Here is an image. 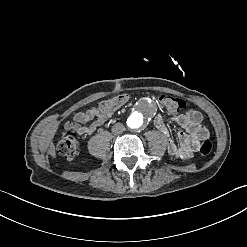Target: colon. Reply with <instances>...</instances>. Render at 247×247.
Returning a JSON list of instances; mask_svg holds the SVG:
<instances>
[{"label": "colon", "mask_w": 247, "mask_h": 247, "mask_svg": "<svg viewBox=\"0 0 247 247\" xmlns=\"http://www.w3.org/2000/svg\"><path fill=\"white\" fill-rule=\"evenodd\" d=\"M162 100V104L169 110L174 112H181L184 109L185 103L181 99L176 97H166L164 93L159 95ZM128 100L127 92H115L114 96H106L101 102L103 108V114L105 116H111L113 109H117L118 105H123ZM59 153L66 158H73L78 153V141L74 133H65L58 145ZM213 151V142L209 138L203 141L199 146V152L203 156L211 154Z\"/></svg>", "instance_id": "colon-1"}]
</instances>
